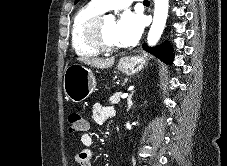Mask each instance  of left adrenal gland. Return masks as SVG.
Masks as SVG:
<instances>
[{"mask_svg":"<svg viewBox=\"0 0 227 166\" xmlns=\"http://www.w3.org/2000/svg\"><path fill=\"white\" fill-rule=\"evenodd\" d=\"M134 91L131 93V95H129L128 99H127V104H128V108L127 111L133 106V102H132V95H133Z\"/></svg>","mask_w":227,"mask_h":166,"instance_id":"1","label":"left adrenal gland"}]
</instances>
